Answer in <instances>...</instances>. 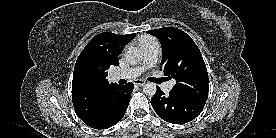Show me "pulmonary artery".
Returning a JSON list of instances; mask_svg holds the SVG:
<instances>
[{"instance_id": "e3ab8cb5", "label": "pulmonary artery", "mask_w": 276, "mask_h": 138, "mask_svg": "<svg viewBox=\"0 0 276 138\" xmlns=\"http://www.w3.org/2000/svg\"><path fill=\"white\" fill-rule=\"evenodd\" d=\"M143 53V60L139 66L131 67L125 70H121L112 75L114 80L119 79H132L138 77L144 70L152 67L156 64L160 52V45L158 41H148L141 44ZM174 85L173 81L163 84L162 89L168 93L172 90Z\"/></svg>"}]
</instances>
